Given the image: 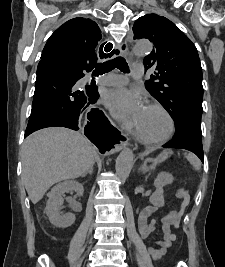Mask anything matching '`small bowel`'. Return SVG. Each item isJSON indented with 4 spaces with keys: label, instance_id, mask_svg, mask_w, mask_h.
Masks as SVG:
<instances>
[{
    "label": "small bowel",
    "instance_id": "c3829d8e",
    "mask_svg": "<svg viewBox=\"0 0 225 267\" xmlns=\"http://www.w3.org/2000/svg\"><path fill=\"white\" fill-rule=\"evenodd\" d=\"M176 196L181 202L180 208L169 211L161 218L150 219L156 212V207L151 205L146 206L141 212L138 226L143 239H148L155 232L158 224L162 225L163 239L156 242L158 248H148L149 253L154 258H160L163 256L176 240V235L171 231V229L178 228L180 219L184 212V207L188 204L189 193L186 189L179 188L176 191Z\"/></svg>",
    "mask_w": 225,
    "mask_h": 267
}]
</instances>
